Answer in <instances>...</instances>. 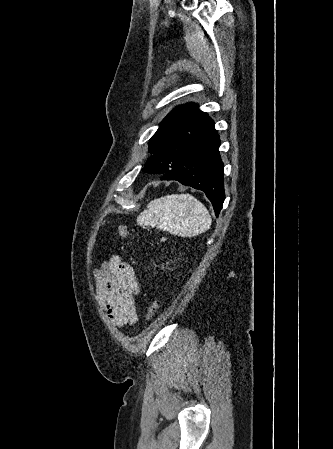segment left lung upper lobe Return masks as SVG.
I'll return each instance as SVG.
<instances>
[{"instance_id":"1","label":"left lung upper lobe","mask_w":333,"mask_h":449,"mask_svg":"<svg viewBox=\"0 0 333 449\" xmlns=\"http://www.w3.org/2000/svg\"><path fill=\"white\" fill-rule=\"evenodd\" d=\"M208 117L195 103L181 105L170 112L150 139L149 152L155 161L151 173L164 175L179 167Z\"/></svg>"}]
</instances>
